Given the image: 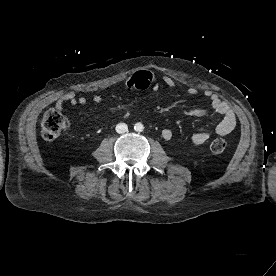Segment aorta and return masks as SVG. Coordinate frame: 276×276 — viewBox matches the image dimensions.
<instances>
[{"label":"aorta","mask_w":276,"mask_h":276,"mask_svg":"<svg viewBox=\"0 0 276 276\" xmlns=\"http://www.w3.org/2000/svg\"><path fill=\"white\" fill-rule=\"evenodd\" d=\"M135 131L142 132L144 130V126L142 123H136L134 126Z\"/></svg>","instance_id":"aorta-1"}]
</instances>
